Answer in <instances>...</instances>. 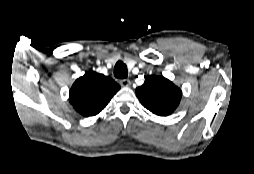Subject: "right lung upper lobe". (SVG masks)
<instances>
[{"mask_svg": "<svg viewBox=\"0 0 254 174\" xmlns=\"http://www.w3.org/2000/svg\"><path fill=\"white\" fill-rule=\"evenodd\" d=\"M119 89L120 86L112 78L88 72L72 85L70 103L82 116H94L105 108Z\"/></svg>", "mask_w": 254, "mask_h": 174, "instance_id": "1", "label": "right lung upper lobe"}]
</instances>
